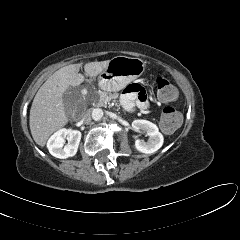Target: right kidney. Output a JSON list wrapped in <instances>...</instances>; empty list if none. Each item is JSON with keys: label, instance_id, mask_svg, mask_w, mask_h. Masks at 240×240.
Wrapping results in <instances>:
<instances>
[{"label": "right kidney", "instance_id": "1", "mask_svg": "<svg viewBox=\"0 0 240 240\" xmlns=\"http://www.w3.org/2000/svg\"><path fill=\"white\" fill-rule=\"evenodd\" d=\"M65 139L69 141L66 146H64ZM80 140V131L63 128L49 138L47 148L52 156L66 159L76 154Z\"/></svg>", "mask_w": 240, "mask_h": 240}]
</instances>
